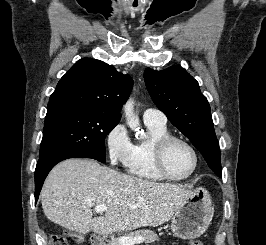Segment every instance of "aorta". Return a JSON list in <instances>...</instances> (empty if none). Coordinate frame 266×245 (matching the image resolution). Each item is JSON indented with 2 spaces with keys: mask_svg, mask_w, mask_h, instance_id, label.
<instances>
[{
  "mask_svg": "<svg viewBox=\"0 0 266 245\" xmlns=\"http://www.w3.org/2000/svg\"><path fill=\"white\" fill-rule=\"evenodd\" d=\"M134 104L135 102L133 98H129V100L125 102L123 108L128 127H130L131 131H138L140 127L139 116H137V114H135L134 112ZM136 137H139V139H146V135L145 133H142V131H140V133H137Z\"/></svg>",
  "mask_w": 266,
  "mask_h": 245,
  "instance_id": "1",
  "label": "aorta"
}]
</instances>
